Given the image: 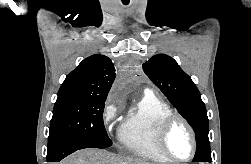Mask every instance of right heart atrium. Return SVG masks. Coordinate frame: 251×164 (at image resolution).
Masks as SVG:
<instances>
[{"label":"right heart atrium","mask_w":251,"mask_h":164,"mask_svg":"<svg viewBox=\"0 0 251 164\" xmlns=\"http://www.w3.org/2000/svg\"><path fill=\"white\" fill-rule=\"evenodd\" d=\"M119 110V106L115 103H109L106 105L102 118L103 123L107 128L111 127L116 122Z\"/></svg>","instance_id":"d8ad5b80"}]
</instances>
